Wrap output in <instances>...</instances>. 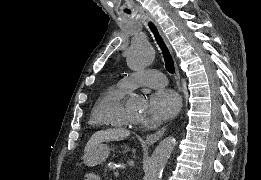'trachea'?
<instances>
[{
    "label": "trachea",
    "mask_w": 261,
    "mask_h": 180,
    "mask_svg": "<svg viewBox=\"0 0 261 180\" xmlns=\"http://www.w3.org/2000/svg\"><path fill=\"white\" fill-rule=\"evenodd\" d=\"M126 13H130V12L127 11ZM148 26H149L150 30L152 31V33L154 34L155 39L162 51V55L164 57L165 67H166L167 72L174 73L175 67H174L173 59L170 55V52H169L167 46L164 43L162 37L160 36L157 27L151 21H148Z\"/></svg>",
    "instance_id": "1"
}]
</instances>
